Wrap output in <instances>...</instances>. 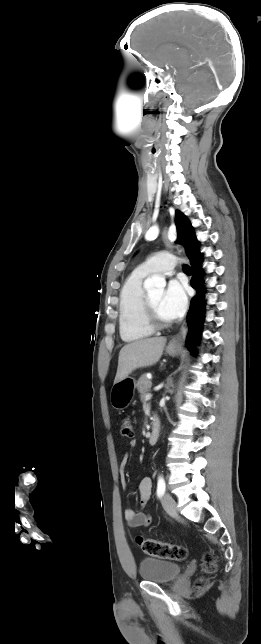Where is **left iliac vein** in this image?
Masks as SVG:
<instances>
[{
	"mask_svg": "<svg viewBox=\"0 0 261 644\" xmlns=\"http://www.w3.org/2000/svg\"><path fill=\"white\" fill-rule=\"evenodd\" d=\"M162 505L164 509L171 515L177 514V504L176 501L169 493H165L162 497Z\"/></svg>",
	"mask_w": 261,
	"mask_h": 644,
	"instance_id": "1",
	"label": "left iliac vein"
}]
</instances>
